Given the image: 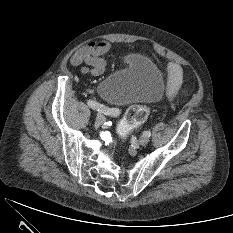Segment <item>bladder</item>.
Listing matches in <instances>:
<instances>
[{
	"mask_svg": "<svg viewBox=\"0 0 233 233\" xmlns=\"http://www.w3.org/2000/svg\"><path fill=\"white\" fill-rule=\"evenodd\" d=\"M98 93L106 102L123 106L131 103H152L164 93L161 70L147 56L132 53L125 65L111 73L98 85Z\"/></svg>",
	"mask_w": 233,
	"mask_h": 233,
	"instance_id": "obj_1",
	"label": "bladder"
}]
</instances>
